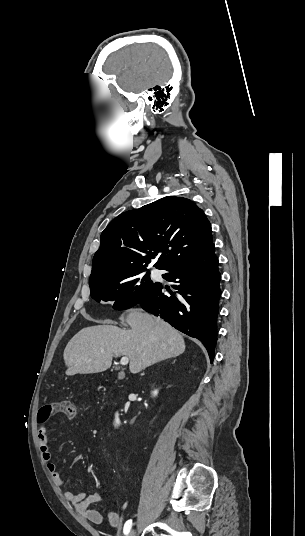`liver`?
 <instances>
[{"label":"liver","mask_w":305,"mask_h":536,"mask_svg":"<svg viewBox=\"0 0 305 536\" xmlns=\"http://www.w3.org/2000/svg\"><path fill=\"white\" fill-rule=\"evenodd\" d=\"M125 322L131 330L91 326L73 336L63 354L67 376L105 372L111 368L114 354L127 356L131 374H138L156 362L176 358L185 352L181 334L161 318L142 310H129ZM102 324L112 322L104 320Z\"/></svg>","instance_id":"liver-1"}]
</instances>
